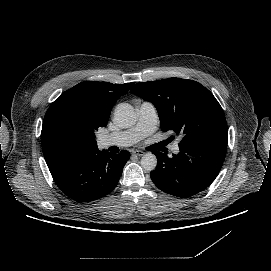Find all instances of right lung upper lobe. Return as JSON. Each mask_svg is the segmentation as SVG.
Returning a JSON list of instances; mask_svg holds the SVG:
<instances>
[{
	"mask_svg": "<svg viewBox=\"0 0 271 271\" xmlns=\"http://www.w3.org/2000/svg\"><path fill=\"white\" fill-rule=\"evenodd\" d=\"M132 85L133 83L112 84L109 82L84 81L62 93L51 104L43 121L41 144L46 163H50L59 155L72 152L56 150L46 143V124L54 113L63 108H70L74 116L91 133V137L77 150L95 149L97 145L94 132L99 127L107 125L113 105L120 96L129 91Z\"/></svg>",
	"mask_w": 271,
	"mask_h": 271,
	"instance_id": "1",
	"label": "right lung upper lobe"
}]
</instances>
